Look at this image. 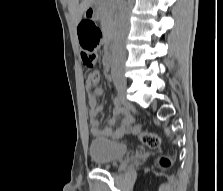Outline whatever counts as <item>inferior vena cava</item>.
<instances>
[{
    "instance_id": "obj_1",
    "label": "inferior vena cava",
    "mask_w": 223,
    "mask_h": 191,
    "mask_svg": "<svg viewBox=\"0 0 223 191\" xmlns=\"http://www.w3.org/2000/svg\"><path fill=\"white\" fill-rule=\"evenodd\" d=\"M118 11V32L115 39V49L112 65V73L116 74L119 67L124 61L126 52L124 47V39L129 28V20L127 16V5L125 0H117Z\"/></svg>"
}]
</instances>
